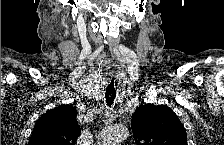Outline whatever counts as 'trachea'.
Masks as SVG:
<instances>
[{
	"mask_svg": "<svg viewBox=\"0 0 224 145\" xmlns=\"http://www.w3.org/2000/svg\"><path fill=\"white\" fill-rule=\"evenodd\" d=\"M115 97H116V90L114 87V78H111L108 82L105 92L106 103L109 107H111V105L113 104Z\"/></svg>",
	"mask_w": 224,
	"mask_h": 145,
	"instance_id": "trachea-1",
	"label": "trachea"
}]
</instances>
